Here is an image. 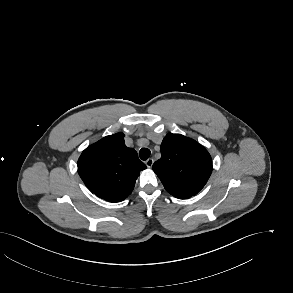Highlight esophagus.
<instances>
[{"instance_id":"1","label":"esophagus","mask_w":293,"mask_h":293,"mask_svg":"<svg viewBox=\"0 0 293 293\" xmlns=\"http://www.w3.org/2000/svg\"><path fill=\"white\" fill-rule=\"evenodd\" d=\"M153 163H154L153 158H149V159H147L146 162H145V164H146V166H147L148 168H151L152 165H153Z\"/></svg>"}]
</instances>
